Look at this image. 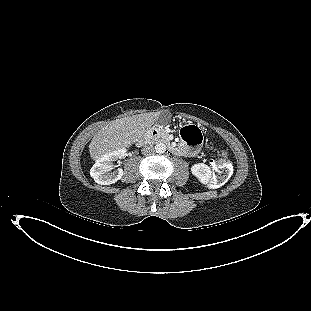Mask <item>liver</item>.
I'll list each match as a JSON object with an SVG mask.
<instances>
[{
  "label": "liver",
  "instance_id": "1",
  "mask_svg": "<svg viewBox=\"0 0 311 311\" xmlns=\"http://www.w3.org/2000/svg\"><path fill=\"white\" fill-rule=\"evenodd\" d=\"M159 114V112H149L109 122L92 138L89 145L91 158L98 160L114 150L129 147L145 135Z\"/></svg>",
  "mask_w": 311,
  "mask_h": 311
}]
</instances>
